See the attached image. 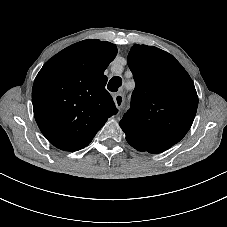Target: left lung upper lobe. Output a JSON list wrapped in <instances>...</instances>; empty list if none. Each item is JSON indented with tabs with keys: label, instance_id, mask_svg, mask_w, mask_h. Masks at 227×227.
Instances as JSON below:
<instances>
[{
	"label": "left lung upper lobe",
	"instance_id": "left-lung-upper-lobe-1",
	"mask_svg": "<svg viewBox=\"0 0 227 227\" xmlns=\"http://www.w3.org/2000/svg\"><path fill=\"white\" fill-rule=\"evenodd\" d=\"M128 65L136 86L120 126L135 149L163 152L193 123L198 106L194 83L172 55L153 46L134 45Z\"/></svg>",
	"mask_w": 227,
	"mask_h": 227
}]
</instances>
